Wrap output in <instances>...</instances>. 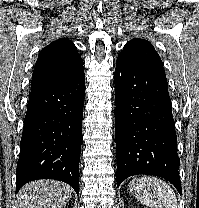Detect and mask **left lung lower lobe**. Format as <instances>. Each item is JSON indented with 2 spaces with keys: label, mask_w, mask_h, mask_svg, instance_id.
I'll use <instances>...</instances> for the list:
<instances>
[{
  "label": "left lung lower lobe",
  "mask_w": 199,
  "mask_h": 208,
  "mask_svg": "<svg viewBox=\"0 0 199 208\" xmlns=\"http://www.w3.org/2000/svg\"><path fill=\"white\" fill-rule=\"evenodd\" d=\"M114 80L117 186L129 176L148 174L167 179L181 194L166 77L118 57Z\"/></svg>",
  "instance_id": "0a47b994"
}]
</instances>
